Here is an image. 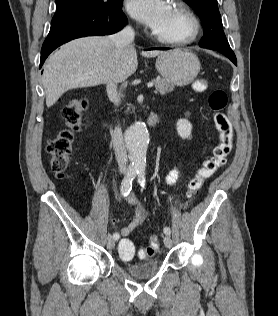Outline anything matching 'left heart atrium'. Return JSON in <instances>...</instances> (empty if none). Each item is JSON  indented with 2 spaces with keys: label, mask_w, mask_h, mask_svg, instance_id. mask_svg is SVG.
Instances as JSON below:
<instances>
[{
  "label": "left heart atrium",
  "mask_w": 278,
  "mask_h": 316,
  "mask_svg": "<svg viewBox=\"0 0 278 316\" xmlns=\"http://www.w3.org/2000/svg\"><path fill=\"white\" fill-rule=\"evenodd\" d=\"M171 6L166 0H129L127 11L131 17L156 32L170 12Z\"/></svg>",
  "instance_id": "obj_1"
}]
</instances>
